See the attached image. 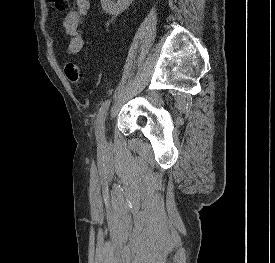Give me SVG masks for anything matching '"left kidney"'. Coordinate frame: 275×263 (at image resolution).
Returning a JSON list of instances; mask_svg holds the SVG:
<instances>
[{
    "instance_id": "left-kidney-1",
    "label": "left kidney",
    "mask_w": 275,
    "mask_h": 263,
    "mask_svg": "<svg viewBox=\"0 0 275 263\" xmlns=\"http://www.w3.org/2000/svg\"><path fill=\"white\" fill-rule=\"evenodd\" d=\"M133 0H118L117 2L112 0H101L103 10L111 15H118L127 9Z\"/></svg>"
}]
</instances>
